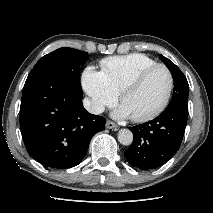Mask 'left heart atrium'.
<instances>
[{
    "label": "left heart atrium",
    "mask_w": 213,
    "mask_h": 213,
    "mask_svg": "<svg viewBox=\"0 0 213 213\" xmlns=\"http://www.w3.org/2000/svg\"><path fill=\"white\" fill-rule=\"evenodd\" d=\"M114 116L117 118H126L129 117V113L127 112V110L121 105L119 108L116 109V111L114 112Z\"/></svg>",
    "instance_id": "left-heart-atrium-1"
}]
</instances>
